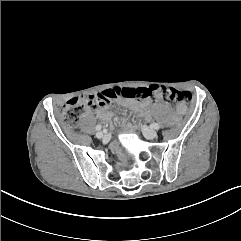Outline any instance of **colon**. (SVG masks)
Here are the masks:
<instances>
[{
  "label": "colon",
  "mask_w": 241,
  "mask_h": 241,
  "mask_svg": "<svg viewBox=\"0 0 241 241\" xmlns=\"http://www.w3.org/2000/svg\"><path fill=\"white\" fill-rule=\"evenodd\" d=\"M140 98V99H158L166 102L188 104L191 101V94L185 91L152 85L138 88L108 87L100 88L98 94L89 96H77L72 98L63 106L61 116L64 121L76 126L79 122V113L86 108H93L97 105H109L117 98ZM178 120L174 115L172 119L166 121L167 127H172Z\"/></svg>",
  "instance_id": "obj_1"
}]
</instances>
